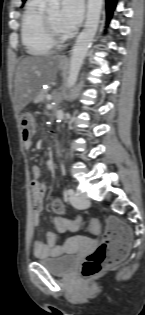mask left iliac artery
Returning <instances> with one entry per match:
<instances>
[{
  "label": "left iliac artery",
  "mask_w": 145,
  "mask_h": 315,
  "mask_svg": "<svg viewBox=\"0 0 145 315\" xmlns=\"http://www.w3.org/2000/svg\"><path fill=\"white\" fill-rule=\"evenodd\" d=\"M67 194H68V195H73V194H74L73 189H68V190H67Z\"/></svg>",
  "instance_id": "44dca946"
}]
</instances>
